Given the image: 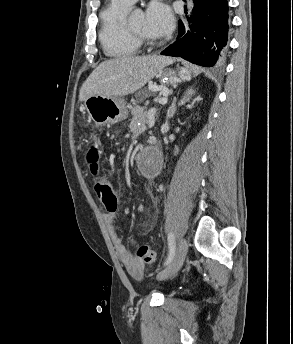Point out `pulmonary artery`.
<instances>
[{"label": "pulmonary artery", "instance_id": "e3ab8cb5", "mask_svg": "<svg viewBox=\"0 0 293 344\" xmlns=\"http://www.w3.org/2000/svg\"><path fill=\"white\" fill-rule=\"evenodd\" d=\"M117 3H122V4H128V5H132L133 3H135L137 0H113Z\"/></svg>", "mask_w": 293, "mask_h": 344}]
</instances>
